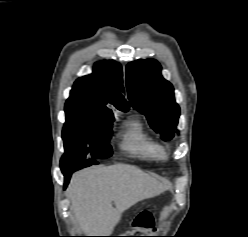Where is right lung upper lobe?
Wrapping results in <instances>:
<instances>
[{
    "mask_svg": "<svg viewBox=\"0 0 248 237\" xmlns=\"http://www.w3.org/2000/svg\"><path fill=\"white\" fill-rule=\"evenodd\" d=\"M122 69L119 63L105 60L95 64L93 73L77 79L65 106L83 110L97 116H113L108 105L121 111L129 109L121 94Z\"/></svg>",
    "mask_w": 248,
    "mask_h": 237,
    "instance_id": "right-lung-upper-lobe-1",
    "label": "right lung upper lobe"
}]
</instances>
